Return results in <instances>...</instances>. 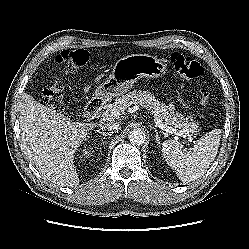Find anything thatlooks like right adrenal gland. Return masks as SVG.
<instances>
[{
    "label": "right adrenal gland",
    "instance_id": "obj_1",
    "mask_svg": "<svg viewBox=\"0 0 249 249\" xmlns=\"http://www.w3.org/2000/svg\"><path fill=\"white\" fill-rule=\"evenodd\" d=\"M96 132H98L99 134L103 135V139H105L108 135H112L111 132L106 133V132H102V131H99V130H97Z\"/></svg>",
    "mask_w": 249,
    "mask_h": 249
}]
</instances>
